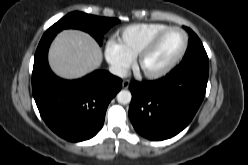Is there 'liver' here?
I'll use <instances>...</instances> for the list:
<instances>
[{"label": "liver", "instance_id": "liver-1", "mask_svg": "<svg viewBox=\"0 0 248 165\" xmlns=\"http://www.w3.org/2000/svg\"><path fill=\"white\" fill-rule=\"evenodd\" d=\"M102 50L87 33L64 30L53 41L49 50V64L53 72L65 79L80 78L98 68Z\"/></svg>", "mask_w": 248, "mask_h": 165}]
</instances>
